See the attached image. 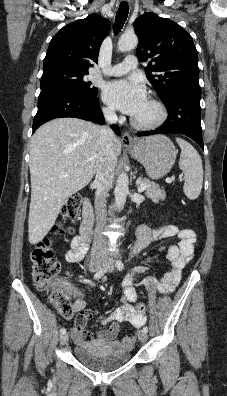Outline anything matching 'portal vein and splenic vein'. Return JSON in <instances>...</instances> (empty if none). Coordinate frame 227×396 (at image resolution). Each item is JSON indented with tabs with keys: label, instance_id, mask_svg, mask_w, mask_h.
I'll return each mask as SVG.
<instances>
[{
	"label": "portal vein and splenic vein",
	"instance_id": "1",
	"mask_svg": "<svg viewBox=\"0 0 227 396\" xmlns=\"http://www.w3.org/2000/svg\"><path fill=\"white\" fill-rule=\"evenodd\" d=\"M67 175H63V177H66ZM147 185L146 184H140L138 187V192L141 193L146 189Z\"/></svg>",
	"mask_w": 227,
	"mask_h": 396
}]
</instances>
